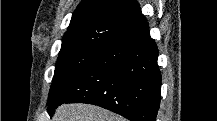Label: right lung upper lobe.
I'll list each match as a JSON object with an SVG mask.
<instances>
[{"instance_id": "cb5924a9", "label": "right lung upper lobe", "mask_w": 217, "mask_h": 121, "mask_svg": "<svg viewBox=\"0 0 217 121\" xmlns=\"http://www.w3.org/2000/svg\"><path fill=\"white\" fill-rule=\"evenodd\" d=\"M140 14L141 9L135 0H82L72 15L68 30L101 20L127 24Z\"/></svg>"}]
</instances>
